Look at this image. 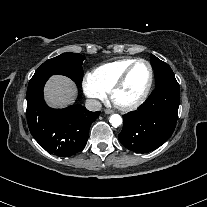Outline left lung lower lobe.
<instances>
[{
	"label": "left lung lower lobe",
	"instance_id": "obj_1",
	"mask_svg": "<svg viewBox=\"0 0 207 207\" xmlns=\"http://www.w3.org/2000/svg\"><path fill=\"white\" fill-rule=\"evenodd\" d=\"M180 103L178 82H169L154 89L136 110L123 116L120 142L129 150L147 153L157 149L172 135Z\"/></svg>",
	"mask_w": 207,
	"mask_h": 207
}]
</instances>
